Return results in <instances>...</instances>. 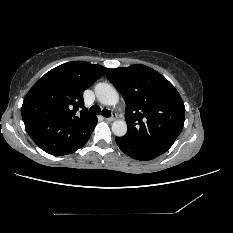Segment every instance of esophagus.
<instances>
[{
	"instance_id": "esophagus-1",
	"label": "esophagus",
	"mask_w": 233,
	"mask_h": 233,
	"mask_svg": "<svg viewBox=\"0 0 233 233\" xmlns=\"http://www.w3.org/2000/svg\"><path fill=\"white\" fill-rule=\"evenodd\" d=\"M116 118H117V115L114 113L110 118H105V120L108 122H112V121L116 120Z\"/></svg>"
}]
</instances>
